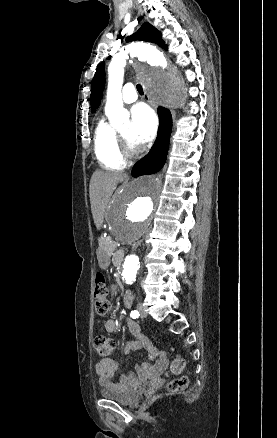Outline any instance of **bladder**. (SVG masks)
<instances>
[{"label": "bladder", "mask_w": 277, "mask_h": 438, "mask_svg": "<svg viewBox=\"0 0 277 438\" xmlns=\"http://www.w3.org/2000/svg\"><path fill=\"white\" fill-rule=\"evenodd\" d=\"M98 392L99 396L125 406H135L143 395L142 388H130L122 392L109 388H101Z\"/></svg>", "instance_id": "1"}]
</instances>
